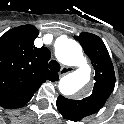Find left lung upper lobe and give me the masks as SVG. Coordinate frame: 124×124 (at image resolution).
I'll use <instances>...</instances> for the list:
<instances>
[{
	"mask_svg": "<svg viewBox=\"0 0 124 124\" xmlns=\"http://www.w3.org/2000/svg\"><path fill=\"white\" fill-rule=\"evenodd\" d=\"M74 38L79 41L94 66V88L89 96L81 100L67 99L60 95L56 103L59 112L65 118L80 121L84 117L98 112L104 106L114 89L115 72L109 53L97 35L81 33Z\"/></svg>",
	"mask_w": 124,
	"mask_h": 124,
	"instance_id": "left-lung-upper-lobe-1",
	"label": "left lung upper lobe"
}]
</instances>
